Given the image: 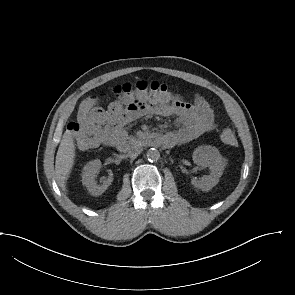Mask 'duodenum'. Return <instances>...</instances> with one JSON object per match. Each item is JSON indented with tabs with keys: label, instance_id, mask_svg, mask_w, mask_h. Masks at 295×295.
<instances>
[{
	"label": "duodenum",
	"instance_id": "obj_1",
	"mask_svg": "<svg viewBox=\"0 0 295 295\" xmlns=\"http://www.w3.org/2000/svg\"><path fill=\"white\" fill-rule=\"evenodd\" d=\"M135 144H140L143 146L148 147H156V146H163L167 144L166 139L161 135L150 134L145 135L136 139L135 141L125 140V138L121 139L119 142L115 143L122 150H127Z\"/></svg>",
	"mask_w": 295,
	"mask_h": 295
}]
</instances>
